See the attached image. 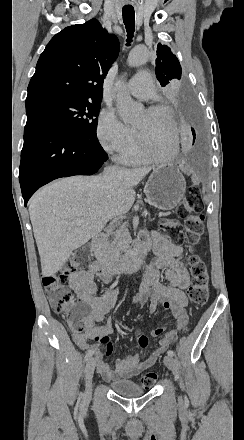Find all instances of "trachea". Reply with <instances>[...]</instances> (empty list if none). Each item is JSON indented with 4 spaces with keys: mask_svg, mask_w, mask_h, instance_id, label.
Wrapping results in <instances>:
<instances>
[{
    "mask_svg": "<svg viewBox=\"0 0 244 440\" xmlns=\"http://www.w3.org/2000/svg\"><path fill=\"white\" fill-rule=\"evenodd\" d=\"M122 16L127 31V44L129 45L135 31V11L132 8H123Z\"/></svg>",
    "mask_w": 244,
    "mask_h": 440,
    "instance_id": "3493384b",
    "label": "trachea"
}]
</instances>
